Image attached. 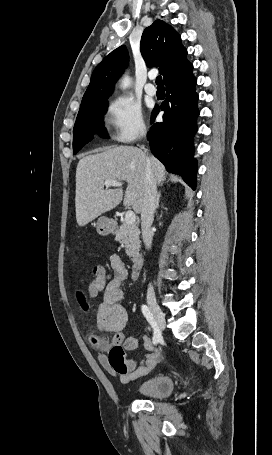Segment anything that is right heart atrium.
<instances>
[{"label": "right heart atrium", "mask_w": 272, "mask_h": 455, "mask_svg": "<svg viewBox=\"0 0 272 455\" xmlns=\"http://www.w3.org/2000/svg\"><path fill=\"white\" fill-rule=\"evenodd\" d=\"M107 113L116 142L131 143L146 133L142 110L132 99L125 96L113 99L108 104Z\"/></svg>", "instance_id": "1"}]
</instances>
